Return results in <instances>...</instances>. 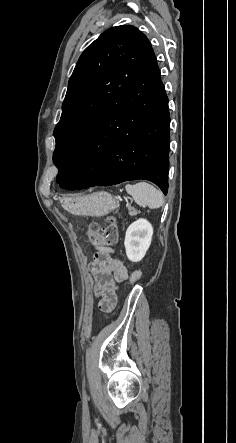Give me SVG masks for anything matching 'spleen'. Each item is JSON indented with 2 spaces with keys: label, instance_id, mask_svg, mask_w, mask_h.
Here are the masks:
<instances>
[{
  "label": "spleen",
  "instance_id": "3e777b00",
  "mask_svg": "<svg viewBox=\"0 0 236 443\" xmlns=\"http://www.w3.org/2000/svg\"><path fill=\"white\" fill-rule=\"evenodd\" d=\"M125 189L140 206L157 209L164 204L162 192L147 182H139L133 185L127 184Z\"/></svg>",
  "mask_w": 236,
  "mask_h": 443
}]
</instances>
